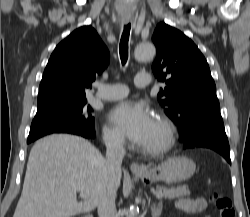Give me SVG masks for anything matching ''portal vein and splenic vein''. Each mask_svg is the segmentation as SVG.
<instances>
[{
    "mask_svg": "<svg viewBox=\"0 0 250 217\" xmlns=\"http://www.w3.org/2000/svg\"><path fill=\"white\" fill-rule=\"evenodd\" d=\"M156 197H157L158 199H161V198L163 197V194H161V193L156 194Z\"/></svg>",
    "mask_w": 250,
    "mask_h": 217,
    "instance_id": "18ae733b",
    "label": "portal vein and splenic vein"
}]
</instances>
